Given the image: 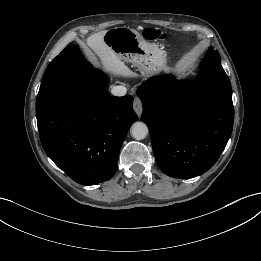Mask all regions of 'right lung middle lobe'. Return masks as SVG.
<instances>
[{
    "label": "right lung middle lobe",
    "mask_w": 261,
    "mask_h": 261,
    "mask_svg": "<svg viewBox=\"0 0 261 261\" xmlns=\"http://www.w3.org/2000/svg\"><path fill=\"white\" fill-rule=\"evenodd\" d=\"M94 68L83 58L78 46H67L46 69L36 104L68 79Z\"/></svg>",
    "instance_id": "right-lung-middle-lobe-1"
}]
</instances>
